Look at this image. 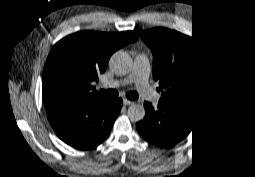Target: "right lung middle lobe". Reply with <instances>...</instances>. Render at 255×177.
<instances>
[{
  "instance_id": "obj_1",
  "label": "right lung middle lobe",
  "mask_w": 255,
  "mask_h": 177,
  "mask_svg": "<svg viewBox=\"0 0 255 177\" xmlns=\"http://www.w3.org/2000/svg\"><path fill=\"white\" fill-rule=\"evenodd\" d=\"M72 95H73L72 92H66V93L62 94L61 100L65 101V100L69 99Z\"/></svg>"
}]
</instances>
